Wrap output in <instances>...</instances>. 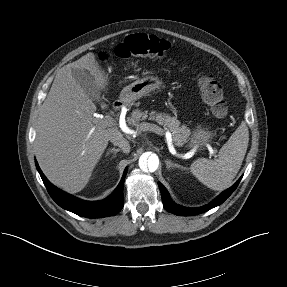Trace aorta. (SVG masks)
I'll list each match as a JSON object with an SVG mask.
<instances>
[{
    "instance_id": "aorta-1",
    "label": "aorta",
    "mask_w": 287,
    "mask_h": 287,
    "mask_svg": "<svg viewBox=\"0 0 287 287\" xmlns=\"http://www.w3.org/2000/svg\"><path fill=\"white\" fill-rule=\"evenodd\" d=\"M139 166L142 170L154 172L159 166V158L156 154H143L139 159Z\"/></svg>"
}]
</instances>
